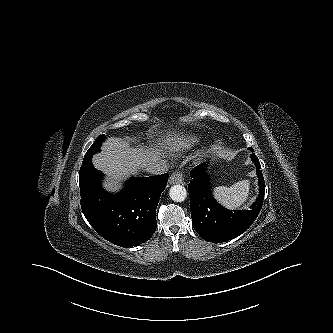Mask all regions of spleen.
<instances>
[{
	"label": "spleen",
	"instance_id": "3e777b00",
	"mask_svg": "<svg viewBox=\"0 0 333 333\" xmlns=\"http://www.w3.org/2000/svg\"><path fill=\"white\" fill-rule=\"evenodd\" d=\"M250 182L243 180L234 183L231 187L219 186L214 189V197L228 209L240 208L248 199Z\"/></svg>",
	"mask_w": 333,
	"mask_h": 333
}]
</instances>
